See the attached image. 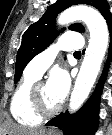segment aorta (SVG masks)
<instances>
[{
    "mask_svg": "<svg viewBox=\"0 0 112 135\" xmlns=\"http://www.w3.org/2000/svg\"><path fill=\"white\" fill-rule=\"evenodd\" d=\"M81 20L89 29L90 40L80 71L77 75L69 102V111L76 112L87 99L100 71L106 54L109 32L103 16L88 6H76L61 13L57 19L59 25Z\"/></svg>",
    "mask_w": 112,
    "mask_h": 135,
    "instance_id": "1",
    "label": "aorta"
}]
</instances>
